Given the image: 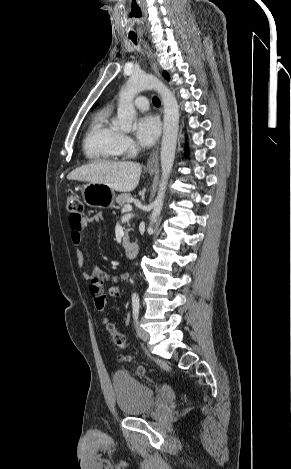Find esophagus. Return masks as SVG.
I'll return each instance as SVG.
<instances>
[{
  "label": "esophagus",
  "instance_id": "1",
  "mask_svg": "<svg viewBox=\"0 0 291 469\" xmlns=\"http://www.w3.org/2000/svg\"><path fill=\"white\" fill-rule=\"evenodd\" d=\"M148 56L150 58V62H151V66L154 70V72L160 76V73H159V69H158V66H157V62L152 54V52L149 50L148 51ZM158 152H159V147L157 146L152 154L150 155L148 161H147V164H146V167L147 169H153V168H157L158 165H159V160H158Z\"/></svg>",
  "mask_w": 291,
  "mask_h": 469
}]
</instances>
